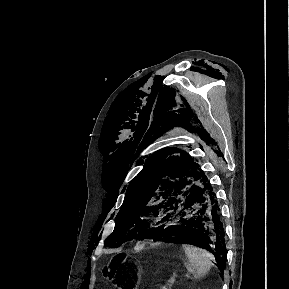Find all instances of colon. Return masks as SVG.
<instances>
[{
  "label": "colon",
  "mask_w": 289,
  "mask_h": 289,
  "mask_svg": "<svg viewBox=\"0 0 289 289\" xmlns=\"http://www.w3.org/2000/svg\"><path fill=\"white\" fill-rule=\"evenodd\" d=\"M103 273L118 289H137L139 269L130 262L116 261L107 266Z\"/></svg>",
  "instance_id": "5ec220e1"
}]
</instances>
